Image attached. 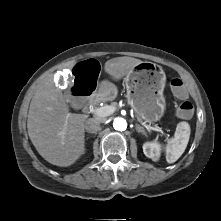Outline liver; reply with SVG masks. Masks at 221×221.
I'll list each match as a JSON object with an SVG mask.
<instances>
[{"mask_svg": "<svg viewBox=\"0 0 221 221\" xmlns=\"http://www.w3.org/2000/svg\"><path fill=\"white\" fill-rule=\"evenodd\" d=\"M142 61L132 57L108 60L104 70L114 80L126 76ZM75 62L69 64L73 68ZM70 94L56 87L53 78L38 87L29 107L27 129L37 152L49 163L68 167L85 152V122L87 115L69 112Z\"/></svg>", "mask_w": 221, "mask_h": 221, "instance_id": "6515ba94", "label": "liver"}]
</instances>
